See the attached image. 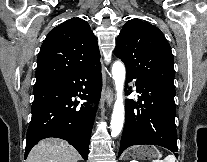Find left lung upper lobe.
I'll return each instance as SVG.
<instances>
[{"label": "left lung upper lobe", "instance_id": "obj_1", "mask_svg": "<svg viewBox=\"0 0 207 162\" xmlns=\"http://www.w3.org/2000/svg\"><path fill=\"white\" fill-rule=\"evenodd\" d=\"M126 70L152 83L174 86V60L170 45L155 26L131 19L121 30L114 51Z\"/></svg>", "mask_w": 207, "mask_h": 162}]
</instances>
